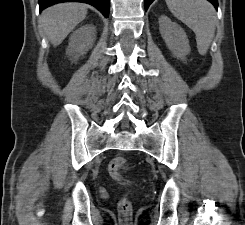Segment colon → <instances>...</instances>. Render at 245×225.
Masks as SVG:
<instances>
[{
    "label": "colon",
    "instance_id": "colon-1",
    "mask_svg": "<svg viewBox=\"0 0 245 225\" xmlns=\"http://www.w3.org/2000/svg\"><path fill=\"white\" fill-rule=\"evenodd\" d=\"M128 162L124 157H115L108 164V172L113 180L123 185H132V182L124 177L127 171ZM119 212L124 220L128 221L132 213V203L127 196H123L119 201Z\"/></svg>",
    "mask_w": 245,
    "mask_h": 225
}]
</instances>
